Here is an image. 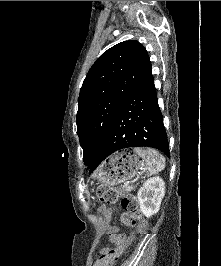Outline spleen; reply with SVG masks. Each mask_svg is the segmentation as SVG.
Segmentation results:
<instances>
[{
	"instance_id": "spleen-1",
	"label": "spleen",
	"mask_w": 221,
	"mask_h": 266,
	"mask_svg": "<svg viewBox=\"0 0 221 266\" xmlns=\"http://www.w3.org/2000/svg\"><path fill=\"white\" fill-rule=\"evenodd\" d=\"M136 152L141 155L145 161V169L148 176L156 174L165 168V159L153 149L142 150L136 148Z\"/></svg>"
}]
</instances>
